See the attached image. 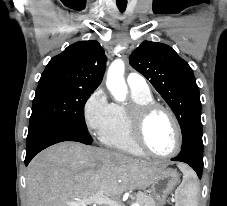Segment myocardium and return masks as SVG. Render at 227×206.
<instances>
[{"label":"myocardium","mask_w":227,"mask_h":206,"mask_svg":"<svg viewBox=\"0 0 227 206\" xmlns=\"http://www.w3.org/2000/svg\"><path fill=\"white\" fill-rule=\"evenodd\" d=\"M158 111L165 113L170 118L176 132L175 148L168 154H159L154 152L146 142L145 135L147 124L151 116ZM127 112L132 140L142 152L156 158H170L175 156L180 151L183 141L182 130L177 117L171 109L153 101L144 104H132L128 108Z\"/></svg>","instance_id":"obj_1"}]
</instances>
